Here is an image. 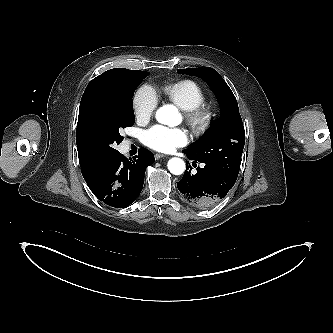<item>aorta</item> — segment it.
Listing matches in <instances>:
<instances>
[{"instance_id":"1","label":"aorta","mask_w":333,"mask_h":333,"mask_svg":"<svg viewBox=\"0 0 333 333\" xmlns=\"http://www.w3.org/2000/svg\"><path fill=\"white\" fill-rule=\"evenodd\" d=\"M156 119L159 123L176 126L181 121L178 109L173 105H164L156 112ZM168 169L174 175H181L185 171V163L182 159L174 157L168 161Z\"/></svg>"}]
</instances>
